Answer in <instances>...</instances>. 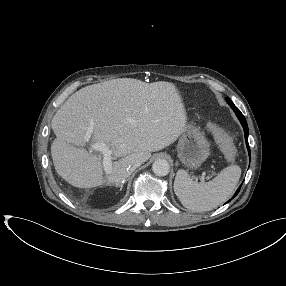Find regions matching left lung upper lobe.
Here are the masks:
<instances>
[{
	"instance_id": "left-lung-upper-lobe-1",
	"label": "left lung upper lobe",
	"mask_w": 286,
	"mask_h": 286,
	"mask_svg": "<svg viewBox=\"0 0 286 286\" xmlns=\"http://www.w3.org/2000/svg\"><path fill=\"white\" fill-rule=\"evenodd\" d=\"M226 100H227L228 104L230 105V107H236L234 105V103L229 98H226Z\"/></svg>"
}]
</instances>
